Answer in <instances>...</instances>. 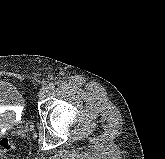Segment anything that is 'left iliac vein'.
Segmentation results:
<instances>
[{"instance_id": "left-iliac-vein-1", "label": "left iliac vein", "mask_w": 165, "mask_h": 159, "mask_svg": "<svg viewBox=\"0 0 165 159\" xmlns=\"http://www.w3.org/2000/svg\"><path fill=\"white\" fill-rule=\"evenodd\" d=\"M47 92H48V88H47V87H43V88L39 91V94H38L39 99H40V100H44V99L46 98Z\"/></svg>"}]
</instances>
